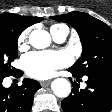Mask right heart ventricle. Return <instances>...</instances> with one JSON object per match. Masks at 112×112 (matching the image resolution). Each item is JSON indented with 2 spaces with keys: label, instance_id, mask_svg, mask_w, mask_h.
I'll return each mask as SVG.
<instances>
[{
  "label": "right heart ventricle",
  "instance_id": "obj_1",
  "mask_svg": "<svg viewBox=\"0 0 112 112\" xmlns=\"http://www.w3.org/2000/svg\"><path fill=\"white\" fill-rule=\"evenodd\" d=\"M67 28L64 24H52L50 26V32L53 36H55L58 32L62 31L63 29Z\"/></svg>",
  "mask_w": 112,
  "mask_h": 112
}]
</instances>
